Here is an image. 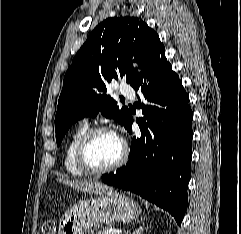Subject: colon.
Masks as SVG:
<instances>
[{
    "label": "colon",
    "instance_id": "1",
    "mask_svg": "<svg viewBox=\"0 0 241 234\" xmlns=\"http://www.w3.org/2000/svg\"><path fill=\"white\" fill-rule=\"evenodd\" d=\"M55 232V226L54 223L47 219L42 225V234H54Z\"/></svg>",
    "mask_w": 241,
    "mask_h": 234
}]
</instances>
